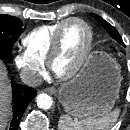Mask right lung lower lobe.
Here are the masks:
<instances>
[{"label": "right lung lower lobe", "instance_id": "1", "mask_svg": "<svg viewBox=\"0 0 130 130\" xmlns=\"http://www.w3.org/2000/svg\"><path fill=\"white\" fill-rule=\"evenodd\" d=\"M13 94V119L9 130H18L20 119L28 104L36 96V90L24 85H18L12 82Z\"/></svg>", "mask_w": 130, "mask_h": 130}]
</instances>
